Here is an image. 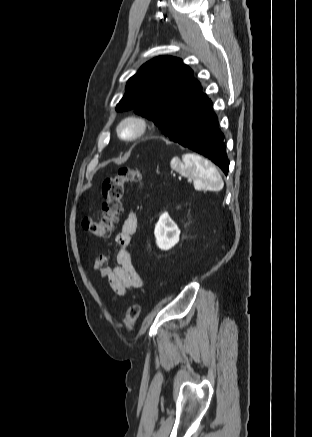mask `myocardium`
<instances>
[{
	"label": "myocardium",
	"mask_w": 312,
	"mask_h": 437,
	"mask_svg": "<svg viewBox=\"0 0 312 437\" xmlns=\"http://www.w3.org/2000/svg\"><path fill=\"white\" fill-rule=\"evenodd\" d=\"M128 125H133L135 129L132 133L125 134L124 130ZM147 129V119L139 114H132L121 119L117 126V134L124 141H135L140 139Z\"/></svg>",
	"instance_id": "1"
}]
</instances>
